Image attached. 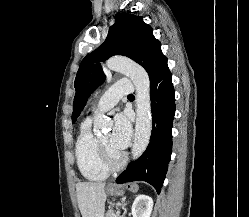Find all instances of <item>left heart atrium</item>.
<instances>
[{"label": "left heart atrium", "instance_id": "obj_1", "mask_svg": "<svg viewBox=\"0 0 249 217\" xmlns=\"http://www.w3.org/2000/svg\"><path fill=\"white\" fill-rule=\"evenodd\" d=\"M131 137V125L124 113L117 114L114 119V127L111 133L110 146L118 151L125 149Z\"/></svg>", "mask_w": 249, "mask_h": 217}]
</instances>
